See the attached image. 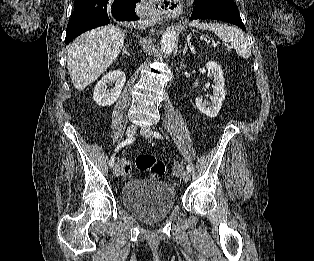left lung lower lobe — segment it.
Here are the masks:
<instances>
[{"label": "left lung lower lobe", "instance_id": "left-lung-lower-lobe-1", "mask_svg": "<svg viewBox=\"0 0 314 261\" xmlns=\"http://www.w3.org/2000/svg\"><path fill=\"white\" fill-rule=\"evenodd\" d=\"M193 12L189 20L195 19H214L225 21L237 25L242 30L246 31L238 12V7L235 4H206L198 5L193 3Z\"/></svg>", "mask_w": 314, "mask_h": 261}]
</instances>
